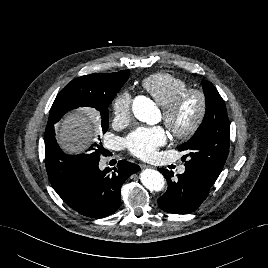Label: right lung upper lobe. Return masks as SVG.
<instances>
[{"instance_id": "1", "label": "right lung upper lobe", "mask_w": 268, "mask_h": 268, "mask_svg": "<svg viewBox=\"0 0 268 268\" xmlns=\"http://www.w3.org/2000/svg\"><path fill=\"white\" fill-rule=\"evenodd\" d=\"M128 76L129 70H123L116 73L90 74L72 80L55 99L62 101L63 108L49 116L45 137L54 133V124L67 111L83 106L94 108L110 104Z\"/></svg>"}]
</instances>
